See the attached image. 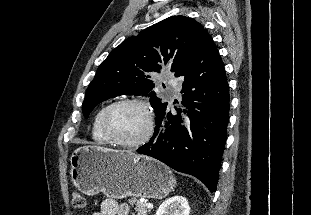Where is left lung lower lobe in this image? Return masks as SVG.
Here are the masks:
<instances>
[{
	"label": "left lung lower lobe",
	"instance_id": "0a47b994",
	"mask_svg": "<svg viewBox=\"0 0 311 215\" xmlns=\"http://www.w3.org/2000/svg\"><path fill=\"white\" fill-rule=\"evenodd\" d=\"M182 80V104L174 115L166 105L156 113L155 132L137 152L195 176L215 192L226 141L229 87L212 38H203L175 73Z\"/></svg>",
	"mask_w": 311,
	"mask_h": 215
}]
</instances>
